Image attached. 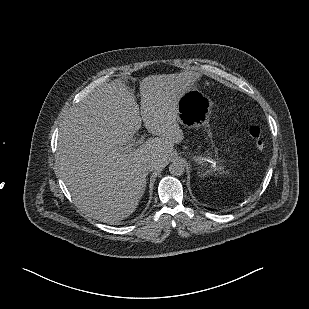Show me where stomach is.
<instances>
[{
    "instance_id": "1",
    "label": "stomach",
    "mask_w": 309,
    "mask_h": 309,
    "mask_svg": "<svg viewBox=\"0 0 309 309\" xmlns=\"http://www.w3.org/2000/svg\"><path fill=\"white\" fill-rule=\"evenodd\" d=\"M191 92L186 94L176 107L177 122L184 127L204 126L211 113V102Z\"/></svg>"
}]
</instances>
